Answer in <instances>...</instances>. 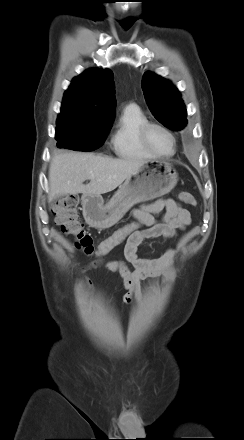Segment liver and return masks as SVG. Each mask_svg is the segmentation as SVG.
<instances>
[{
  "mask_svg": "<svg viewBox=\"0 0 244 440\" xmlns=\"http://www.w3.org/2000/svg\"><path fill=\"white\" fill-rule=\"evenodd\" d=\"M146 161L113 159L84 152L56 153L49 167V200L64 195L105 194L120 186ZM85 180L90 183L84 185Z\"/></svg>",
  "mask_w": 244,
  "mask_h": 440,
  "instance_id": "6515ba94",
  "label": "liver"
}]
</instances>
